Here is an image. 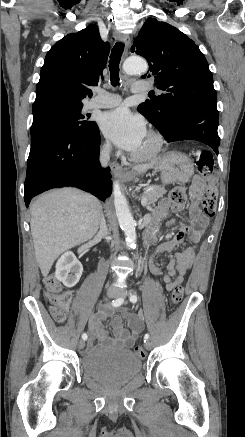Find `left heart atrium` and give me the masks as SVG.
I'll return each instance as SVG.
<instances>
[{"label": "left heart atrium", "instance_id": "left-heart-atrium-1", "mask_svg": "<svg viewBox=\"0 0 245 437\" xmlns=\"http://www.w3.org/2000/svg\"><path fill=\"white\" fill-rule=\"evenodd\" d=\"M103 134L118 147L135 153L146 137V128L141 117L126 107L106 112L100 119Z\"/></svg>", "mask_w": 245, "mask_h": 437}]
</instances>
